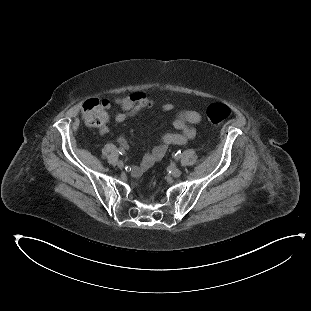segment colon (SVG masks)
I'll use <instances>...</instances> for the list:
<instances>
[{
  "label": "colon",
  "mask_w": 311,
  "mask_h": 311,
  "mask_svg": "<svg viewBox=\"0 0 311 311\" xmlns=\"http://www.w3.org/2000/svg\"><path fill=\"white\" fill-rule=\"evenodd\" d=\"M109 106L110 102L107 100H87L83 105V119L90 125L104 127L108 120ZM206 114L209 123L218 125L230 117L232 111L226 104L214 103L207 109Z\"/></svg>",
  "instance_id": "1"
}]
</instances>
